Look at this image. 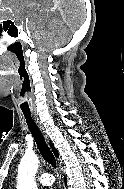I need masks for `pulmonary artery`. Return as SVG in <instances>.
I'll return each instance as SVG.
<instances>
[{
    "label": "pulmonary artery",
    "instance_id": "e3ab8cb5",
    "mask_svg": "<svg viewBox=\"0 0 124 189\" xmlns=\"http://www.w3.org/2000/svg\"><path fill=\"white\" fill-rule=\"evenodd\" d=\"M54 176L51 173H42L39 177H38V181L42 184V185H51L54 182Z\"/></svg>",
    "mask_w": 124,
    "mask_h": 189
}]
</instances>
